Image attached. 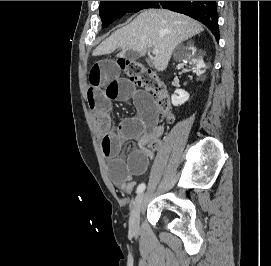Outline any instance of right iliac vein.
Wrapping results in <instances>:
<instances>
[{"label":"right iliac vein","mask_w":271,"mask_h":266,"mask_svg":"<svg viewBox=\"0 0 271 266\" xmlns=\"http://www.w3.org/2000/svg\"><path fill=\"white\" fill-rule=\"evenodd\" d=\"M143 199L144 194H139L133 203V207L131 210L130 218H129V230L131 234L136 235L139 230V218H140V212L143 207Z\"/></svg>","instance_id":"right-iliac-vein-1"}]
</instances>
